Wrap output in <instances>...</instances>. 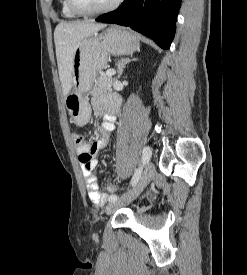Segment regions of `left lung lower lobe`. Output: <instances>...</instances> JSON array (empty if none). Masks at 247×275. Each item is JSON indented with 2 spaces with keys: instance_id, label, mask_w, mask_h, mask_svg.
Returning <instances> with one entry per match:
<instances>
[{
  "instance_id": "obj_1",
  "label": "left lung lower lobe",
  "mask_w": 247,
  "mask_h": 275,
  "mask_svg": "<svg viewBox=\"0 0 247 275\" xmlns=\"http://www.w3.org/2000/svg\"><path fill=\"white\" fill-rule=\"evenodd\" d=\"M181 0H126L96 21L128 26L168 49L175 35Z\"/></svg>"
}]
</instances>
